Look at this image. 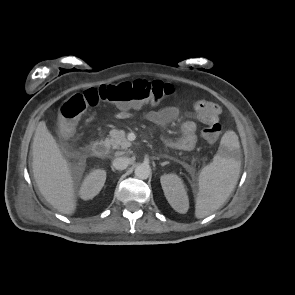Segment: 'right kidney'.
Wrapping results in <instances>:
<instances>
[{
  "label": "right kidney",
  "instance_id": "obj_1",
  "mask_svg": "<svg viewBox=\"0 0 295 295\" xmlns=\"http://www.w3.org/2000/svg\"><path fill=\"white\" fill-rule=\"evenodd\" d=\"M106 180V171L95 169L91 171L82 182L79 195L84 200L94 198L104 186Z\"/></svg>",
  "mask_w": 295,
  "mask_h": 295
}]
</instances>
